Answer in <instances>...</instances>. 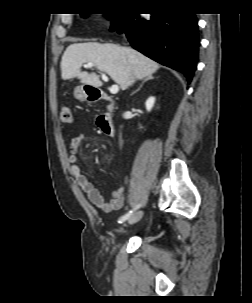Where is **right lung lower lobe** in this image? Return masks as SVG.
I'll list each match as a JSON object with an SVG mask.
<instances>
[{"mask_svg": "<svg viewBox=\"0 0 252 303\" xmlns=\"http://www.w3.org/2000/svg\"><path fill=\"white\" fill-rule=\"evenodd\" d=\"M147 19L128 14L110 31H125L132 47L151 59L182 72L190 83L196 68L199 35L195 14L163 12Z\"/></svg>", "mask_w": 252, "mask_h": 303, "instance_id": "right-lung-lower-lobe-1", "label": "right lung lower lobe"}]
</instances>
